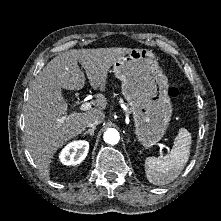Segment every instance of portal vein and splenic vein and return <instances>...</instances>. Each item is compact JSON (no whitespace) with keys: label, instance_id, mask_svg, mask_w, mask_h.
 Instances as JSON below:
<instances>
[{"label":"portal vein and splenic vein","instance_id":"obj_1","mask_svg":"<svg viewBox=\"0 0 221 221\" xmlns=\"http://www.w3.org/2000/svg\"><path fill=\"white\" fill-rule=\"evenodd\" d=\"M91 108H92V103L91 102H84L80 105V110H82V111H87ZM160 157H162V155Z\"/></svg>","mask_w":221,"mask_h":221}]
</instances>
